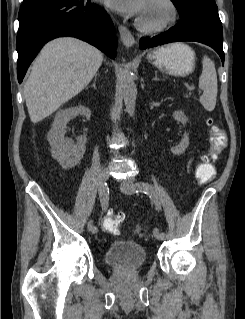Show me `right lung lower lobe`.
<instances>
[{
    "instance_id": "98d812e1",
    "label": "right lung lower lobe",
    "mask_w": 245,
    "mask_h": 319,
    "mask_svg": "<svg viewBox=\"0 0 245 319\" xmlns=\"http://www.w3.org/2000/svg\"><path fill=\"white\" fill-rule=\"evenodd\" d=\"M18 19L16 49L19 83L42 46L56 37H77L110 58L116 56L114 25L106 11L90 0H36L23 3Z\"/></svg>"
}]
</instances>
